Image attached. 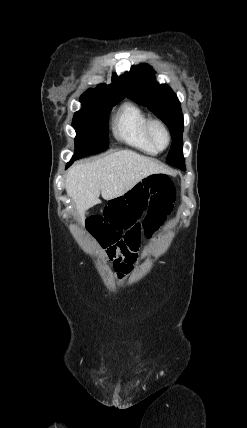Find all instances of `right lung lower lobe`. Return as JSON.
<instances>
[{
	"label": "right lung lower lobe",
	"mask_w": 247,
	"mask_h": 428,
	"mask_svg": "<svg viewBox=\"0 0 247 428\" xmlns=\"http://www.w3.org/2000/svg\"><path fill=\"white\" fill-rule=\"evenodd\" d=\"M74 159H72L70 162L67 163L66 168H68L72 163H73Z\"/></svg>",
	"instance_id": "1"
}]
</instances>
